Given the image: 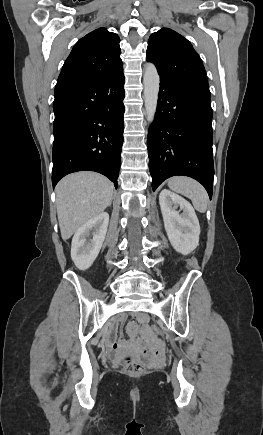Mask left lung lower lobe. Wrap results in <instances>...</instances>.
I'll return each mask as SVG.
<instances>
[{"mask_svg":"<svg viewBox=\"0 0 263 435\" xmlns=\"http://www.w3.org/2000/svg\"><path fill=\"white\" fill-rule=\"evenodd\" d=\"M155 120L147 147L153 191L185 175L213 191L212 108L209 91L160 78Z\"/></svg>","mask_w":263,"mask_h":435,"instance_id":"obj_1","label":"left lung lower lobe"}]
</instances>
